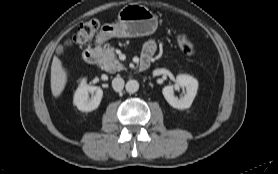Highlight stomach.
Instances as JSON below:
<instances>
[{
  "label": "stomach",
  "mask_w": 278,
  "mask_h": 174,
  "mask_svg": "<svg viewBox=\"0 0 278 174\" xmlns=\"http://www.w3.org/2000/svg\"><path fill=\"white\" fill-rule=\"evenodd\" d=\"M158 26L157 16L147 7L131 3L118 14L116 24H105L99 34L102 40L112 37L134 38L153 34Z\"/></svg>",
  "instance_id": "0dacf381"
}]
</instances>
